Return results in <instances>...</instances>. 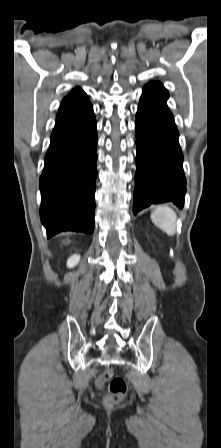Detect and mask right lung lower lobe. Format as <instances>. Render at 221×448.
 <instances>
[{"label": "right lung lower lobe", "mask_w": 221, "mask_h": 448, "mask_svg": "<svg viewBox=\"0 0 221 448\" xmlns=\"http://www.w3.org/2000/svg\"><path fill=\"white\" fill-rule=\"evenodd\" d=\"M96 120L86 94L61 106L40 177V217L47 237L94 230Z\"/></svg>", "instance_id": "98d812e1"}]
</instances>
